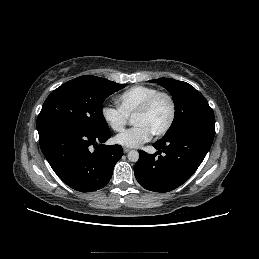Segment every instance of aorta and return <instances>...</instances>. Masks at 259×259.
I'll use <instances>...</instances> for the list:
<instances>
[{
    "label": "aorta",
    "instance_id": "obj_1",
    "mask_svg": "<svg viewBox=\"0 0 259 259\" xmlns=\"http://www.w3.org/2000/svg\"><path fill=\"white\" fill-rule=\"evenodd\" d=\"M139 159V153L136 150H131L128 153V160L131 162H137Z\"/></svg>",
    "mask_w": 259,
    "mask_h": 259
}]
</instances>
